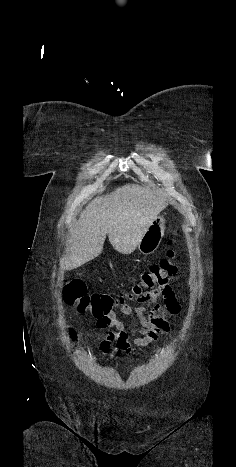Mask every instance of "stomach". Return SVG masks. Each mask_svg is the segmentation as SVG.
I'll list each match as a JSON object with an SVG mask.
<instances>
[{
	"instance_id": "0dacf381",
	"label": "stomach",
	"mask_w": 236,
	"mask_h": 467,
	"mask_svg": "<svg viewBox=\"0 0 236 467\" xmlns=\"http://www.w3.org/2000/svg\"><path fill=\"white\" fill-rule=\"evenodd\" d=\"M164 230V218L162 216L156 217L144 233L138 245V250L144 255L154 253L160 245V242L164 236Z\"/></svg>"
}]
</instances>
